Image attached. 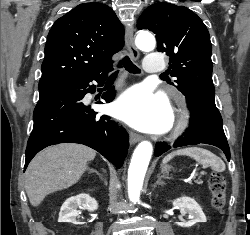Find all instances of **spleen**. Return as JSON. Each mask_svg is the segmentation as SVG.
<instances>
[{
  "label": "spleen",
  "mask_w": 250,
  "mask_h": 235,
  "mask_svg": "<svg viewBox=\"0 0 250 235\" xmlns=\"http://www.w3.org/2000/svg\"><path fill=\"white\" fill-rule=\"evenodd\" d=\"M177 155L189 156L203 165H209L216 172L225 171V163L219 157L208 150L198 147L184 148L171 152L164 157L163 163L165 164L169 162L174 156Z\"/></svg>",
  "instance_id": "spleen-1"
}]
</instances>
